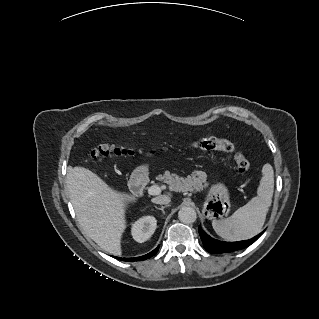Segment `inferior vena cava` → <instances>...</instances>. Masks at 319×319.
I'll use <instances>...</instances> for the list:
<instances>
[{
    "label": "inferior vena cava",
    "instance_id": "obj_1",
    "mask_svg": "<svg viewBox=\"0 0 319 319\" xmlns=\"http://www.w3.org/2000/svg\"><path fill=\"white\" fill-rule=\"evenodd\" d=\"M155 204L167 205L170 203V197L167 195H159L151 200Z\"/></svg>",
    "mask_w": 319,
    "mask_h": 319
}]
</instances>
